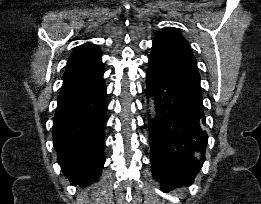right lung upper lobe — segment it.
Listing matches in <instances>:
<instances>
[{
  "label": "right lung upper lobe",
  "instance_id": "obj_1",
  "mask_svg": "<svg viewBox=\"0 0 261 204\" xmlns=\"http://www.w3.org/2000/svg\"><path fill=\"white\" fill-rule=\"evenodd\" d=\"M101 50L92 43L80 46L69 58L66 69H73L97 61L101 58Z\"/></svg>",
  "mask_w": 261,
  "mask_h": 204
}]
</instances>
